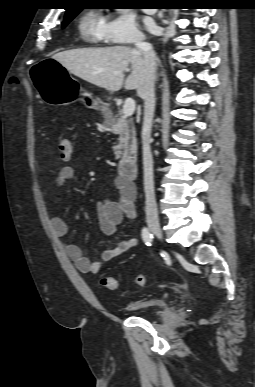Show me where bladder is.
Masks as SVG:
<instances>
[{
    "label": "bladder",
    "instance_id": "bladder-1",
    "mask_svg": "<svg viewBox=\"0 0 255 387\" xmlns=\"http://www.w3.org/2000/svg\"><path fill=\"white\" fill-rule=\"evenodd\" d=\"M167 307V302L163 296H153L136 302L133 311L138 315H146L151 312L164 309Z\"/></svg>",
    "mask_w": 255,
    "mask_h": 387
}]
</instances>
